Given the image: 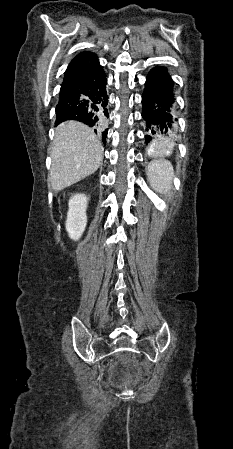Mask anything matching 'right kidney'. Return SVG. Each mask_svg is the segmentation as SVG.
Wrapping results in <instances>:
<instances>
[{"instance_id": "right-kidney-1", "label": "right kidney", "mask_w": 233, "mask_h": 449, "mask_svg": "<svg viewBox=\"0 0 233 449\" xmlns=\"http://www.w3.org/2000/svg\"><path fill=\"white\" fill-rule=\"evenodd\" d=\"M87 202V197L84 194H75L69 200L66 230L73 240H79L85 231Z\"/></svg>"}]
</instances>
